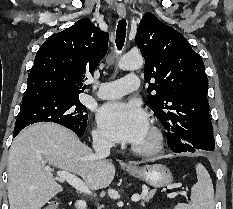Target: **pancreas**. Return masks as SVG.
Listing matches in <instances>:
<instances>
[{
	"label": "pancreas",
	"mask_w": 233,
	"mask_h": 209,
	"mask_svg": "<svg viewBox=\"0 0 233 209\" xmlns=\"http://www.w3.org/2000/svg\"><path fill=\"white\" fill-rule=\"evenodd\" d=\"M154 195V192H150L149 194H146V195H142V205H144V202H149V200L153 197Z\"/></svg>",
	"instance_id": "1"
}]
</instances>
